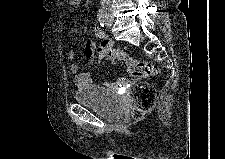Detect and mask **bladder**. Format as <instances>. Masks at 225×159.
<instances>
[{
	"instance_id": "bladder-1",
	"label": "bladder",
	"mask_w": 225,
	"mask_h": 159,
	"mask_svg": "<svg viewBox=\"0 0 225 159\" xmlns=\"http://www.w3.org/2000/svg\"><path fill=\"white\" fill-rule=\"evenodd\" d=\"M75 99L107 119H118L123 114L122 99L102 85L89 84L78 89Z\"/></svg>"
}]
</instances>
